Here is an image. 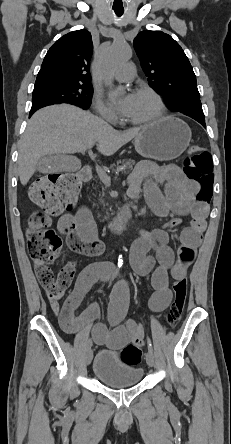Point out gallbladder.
Here are the masks:
<instances>
[{"mask_svg":"<svg viewBox=\"0 0 231 444\" xmlns=\"http://www.w3.org/2000/svg\"><path fill=\"white\" fill-rule=\"evenodd\" d=\"M65 159H67V157L64 155L43 156L38 160L37 169L43 174L48 172L63 171L66 169V167L62 165ZM48 166H50V168Z\"/></svg>","mask_w":231,"mask_h":444,"instance_id":"1","label":"gallbladder"}]
</instances>
